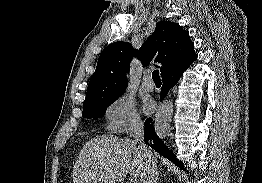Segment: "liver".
Segmentation results:
<instances>
[{"label": "liver", "instance_id": "6515ba94", "mask_svg": "<svg viewBox=\"0 0 262 183\" xmlns=\"http://www.w3.org/2000/svg\"><path fill=\"white\" fill-rule=\"evenodd\" d=\"M142 158L135 141L108 134L90 139L73 168L74 183H118L128 172L140 177Z\"/></svg>", "mask_w": 262, "mask_h": 183}]
</instances>
